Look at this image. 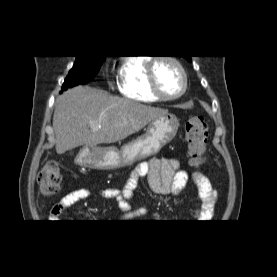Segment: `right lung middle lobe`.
<instances>
[{
	"label": "right lung middle lobe",
	"instance_id": "dd1d6c3e",
	"mask_svg": "<svg viewBox=\"0 0 277 277\" xmlns=\"http://www.w3.org/2000/svg\"><path fill=\"white\" fill-rule=\"evenodd\" d=\"M105 57L106 56H77L73 68L70 70L63 83L62 91L78 84H85L92 80L98 73Z\"/></svg>",
	"mask_w": 277,
	"mask_h": 277
}]
</instances>
